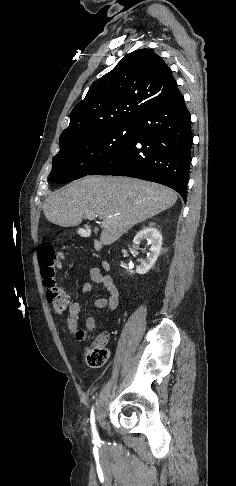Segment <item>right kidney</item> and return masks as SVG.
Wrapping results in <instances>:
<instances>
[{"label":"right kidney","mask_w":236,"mask_h":486,"mask_svg":"<svg viewBox=\"0 0 236 486\" xmlns=\"http://www.w3.org/2000/svg\"><path fill=\"white\" fill-rule=\"evenodd\" d=\"M143 240H147L151 246L146 259L142 260L141 264L136 269V273L141 275L146 274L155 264L161 250L162 235L158 229L151 226L146 227L137 233L133 243L140 245Z\"/></svg>","instance_id":"ca27d5eb"}]
</instances>
